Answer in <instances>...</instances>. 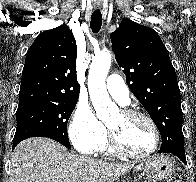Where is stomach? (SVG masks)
I'll list each match as a JSON object with an SVG mask.
<instances>
[{
  "label": "stomach",
  "instance_id": "0dacf381",
  "mask_svg": "<svg viewBox=\"0 0 196 182\" xmlns=\"http://www.w3.org/2000/svg\"><path fill=\"white\" fill-rule=\"evenodd\" d=\"M140 169L143 170L147 177L144 182H157L165 180L172 175L174 163L165 155H154L142 163Z\"/></svg>",
  "mask_w": 196,
  "mask_h": 182
}]
</instances>
